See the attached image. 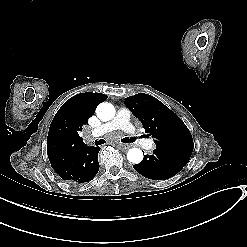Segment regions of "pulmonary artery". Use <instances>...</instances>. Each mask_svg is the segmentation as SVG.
<instances>
[{"mask_svg":"<svg viewBox=\"0 0 247 247\" xmlns=\"http://www.w3.org/2000/svg\"><path fill=\"white\" fill-rule=\"evenodd\" d=\"M131 117L132 113L128 108L120 107L117 109L114 119L102 124L96 133L100 134L113 129H121L132 136H137L138 131L131 122ZM91 132H94V129H91ZM142 147L144 150L152 152L156 148V145L152 139H146L143 141Z\"/></svg>","mask_w":247,"mask_h":247,"instance_id":"pulmonary-artery-1","label":"pulmonary artery"}]
</instances>
